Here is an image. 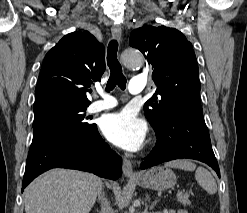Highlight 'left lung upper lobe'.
Listing matches in <instances>:
<instances>
[{
	"label": "left lung upper lobe",
	"mask_w": 247,
	"mask_h": 213,
	"mask_svg": "<svg viewBox=\"0 0 247 213\" xmlns=\"http://www.w3.org/2000/svg\"><path fill=\"white\" fill-rule=\"evenodd\" d=\"M129 44L145 55L157 86L144 105L154 130L176 111L203 115L196 56L192 44L180 31L144 24L132 31Z\"/></svg>",
	"instance_id": "1"
}]
</instances>
